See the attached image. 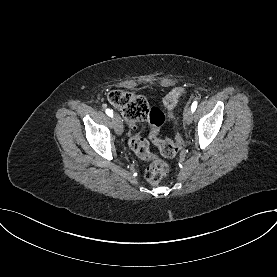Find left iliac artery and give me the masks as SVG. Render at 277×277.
<instances>
[{
	"label": "left iliac artery",
	"mask_w": 277,
	"mask_h": 277,
	"mask_svg": "<svg viewBox=\"0 0 277 277\" xmlns=\"http://www.w3.org/2000/svg\"><path fill=\"white\" fill-rule=\"evenodd\" d=\"M196 108H197V101H194L191 105L192 112H194L196 110Z\"/></svg>",
	"instance_id": "left-iliac-artery-1"
}]
</instances>
